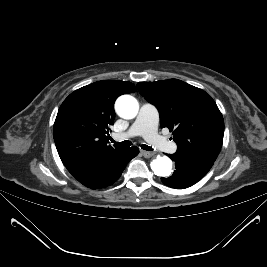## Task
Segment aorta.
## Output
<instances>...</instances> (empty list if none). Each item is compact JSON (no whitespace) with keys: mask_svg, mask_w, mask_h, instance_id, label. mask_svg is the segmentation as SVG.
<instances>
[{"mask_svg":"<svg viewBox=\"0 0 267 267\" xmlns=\"http://www.w3.org/2000/svg\"><path fill=\"white\" fill-rule=\"evenodd\" d=\"M115 110L121 118L133 119L138 114L139 103L131 95H122L116 100ZM150 167L157 176L167 177L172 173V162L165 156H157L156 159L151 161Z\"/></svg>","mask_w":267,"mask_h":267,"instance_id":"762f6f07","label":"aorta"}]
</instances>
